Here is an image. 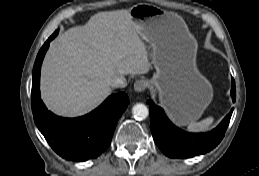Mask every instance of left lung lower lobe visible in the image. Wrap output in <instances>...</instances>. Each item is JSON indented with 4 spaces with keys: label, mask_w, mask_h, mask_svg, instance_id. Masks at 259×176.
Wrapping results in <instances>:
<instances>
[{
    "label": "left lung lower lobe",
    "mask_w": 259,
    "mask_h": 176,
    "mask_svg": "<svg viewBox=\"0 0 259 176\" xmlns=\"http://www.w3.org/2000/svg\"><path fill=\"white\" fill-rule=\"evenodd\" d=\"M231 96L236 99L235 81L232 79ZM150 129L160 150L171 158H190L214 149L224 137L233 109L212 131L193 134L180 130L170 122L163 109L149 100Z\"/></svg>",
    "instance_id": "1"
}]
</instances>
